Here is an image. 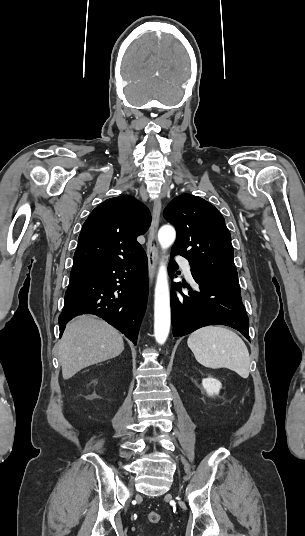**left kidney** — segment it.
Returning <instances> with one entry per match:
<instances>
[{"label":"left kidney","mask_w":305,"mask_h":536,"mask_svg":"<svg viewBox=\"0 0 305 536\" xmlns=\"http://www.w3.org/2000/svg\"><path fill=\"white\" fill-rule=\"evenodd\" d=\"M202 386L209 396L219 394V390L222 388L221 382H219V380H215V378H212V376H210V378H204V380H202Z\"/></svg>","instance_id":"1"}]
</instances>
